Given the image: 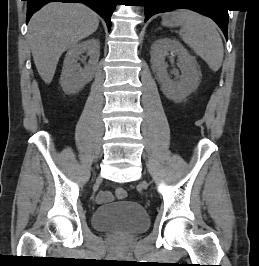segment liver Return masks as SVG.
Segmentation results:
<instances>
[{
    "mask_svg": "<svg viewBox=\"0 0 259 266\" xmlns=\"http://www.w3.org/2000/svg\"><path fill=\"white\" fill-rule=\"evenodd\" d=\"M98 26V14L80 3H49L32 16L28 41L45 83H51L63 52L93 34Z\"/></svg>",
    "mask_w": 259,
    "mask_h": 266,
    "instance_id": "6515ba94",
    "label": "liver"
}]
</instances>
